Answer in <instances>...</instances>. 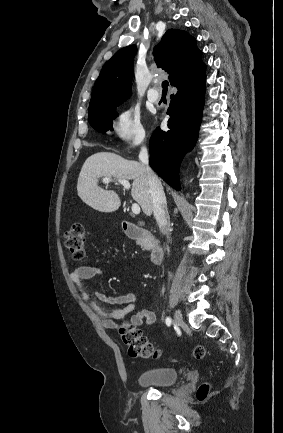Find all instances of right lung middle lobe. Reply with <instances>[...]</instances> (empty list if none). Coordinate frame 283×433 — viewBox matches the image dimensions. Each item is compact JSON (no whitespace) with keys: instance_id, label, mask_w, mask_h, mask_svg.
I'll list each match as a JSON object with an SVG mask.
<instances>
[{"instance_id":"dd1d6c3e","label":"right lung middle lobe","mask_w":283,"mask_h":433,"mask_svg":"<svg viewBox=\"0 0 283 433\" xmlns=\"http://www.w3.org/2000/svg\"><path fill=\"white\" fill-rule=\"evenodd\" d=\"M119 105V104H118ZM118 105L105 107L89 113L88 121L97 131L105 132L112 128L113 119L118 116L116 107Z\"/></svg>"}]
</instances>
